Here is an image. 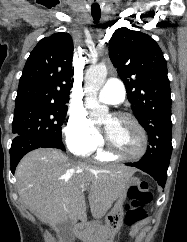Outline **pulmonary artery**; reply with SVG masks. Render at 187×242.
Returning a JSON list of instances; mask_svg holds the SVG:
<instances>
[{
    "instance_id": "pulmonary-artery-1",
    "label": "pulmonary artery",
    "mask_w": 187,
    "mask_h": 242,
    "mask_svg": "<svg viewBox=\"0 0 187 242\" xmlns=\"http://www.w3.org/2000/svg\"><path fill=\"white\" fill-rule=\"evenodd\" d=\"M124 98L125 88L123 83L118 79H109L98 95L100 102L109 105H117L121 103Z\"/></svg>"
}]
</instances>
